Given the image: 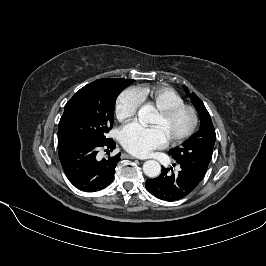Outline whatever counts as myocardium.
Listing matches in <instances>:
<instances>
[{
	"label": "myocardium",
	"mask_w": 266,
	"mask_h": 266,
	"mask_svg": "<svg viewBox=\"0 0 266 266\" xmlns=\"http://www.w3.org/2000/svg\"><path fill=\"white\" fill-rule=\"evenodd\" d=\"M182 111L189 112L191 116V124L189 128L180 136L176 138L169 139L171 143L173 144H180L187 139H189L196 131L198 124H199V115L195 107L189 104H180L176 106H172L166 109H162L158 111V114L161 115L165 119H169L177 115L178 113Z\"/></svg>",
	"instance_id": "f54148a6"
}]
</instances>
